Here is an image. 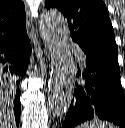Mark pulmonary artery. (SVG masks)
Instances as JSON below:
<instances>
[{"label":"pulmonary artery","instance_id":"1","mask_svg":"<svg viewBox=\"0 0 125 128\" xmlns=\"http://www.w3.org/2000/svg\"><path fill=\"white\" fill-rule=\"evenodd\" d=\"M75 54H76L78 60L80 61V63H81L82 65H84V64H85V60H84V56H83L82 51L76 50V51H75Z\"/></svg>","mask_w":125,"mask_h":128}]
</instances>
